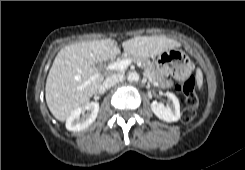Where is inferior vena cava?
<instances>
[{
	"mask_svg": "<svg viewBox=\"0 0 245 170\" xmlns=\"http://www.w3.org/2000/svg\"><path fill=\"white\" fill-rule=\"evenodd\" d=\"M123 79L124 76L122 74H113L105 79L103 85L105 88H111L112 86L122 81Z\"/></svg>",
	"mask_w": 245,
	"mask_h": 170,
	"instance_id": "602c4592",
	"label": "inferior vena cava"
}]
</instances>
